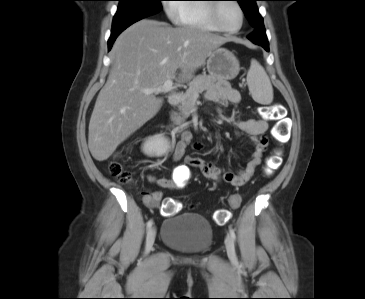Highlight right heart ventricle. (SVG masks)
Returning <instances> with one entry per match:
<instances>
[{
  "instance_id": "e07e8e85",
  "label": "right heart ventricle",
  "mask_w": 365,
  "mask_h": 299,
  "mask_svg": "<svg viewBox=\"0 0 365 299\" xmlns=\"http://www.w3.org/2000/svg\"><path fill=\"white\" fill-rule=\"evenodd\" d=\"M210 1V0H186ZM210 5L207 3L180 4L176 21L179 25L194 27L203 30L217 31L210 20Z\"/></svg>"
}]
</instances>
